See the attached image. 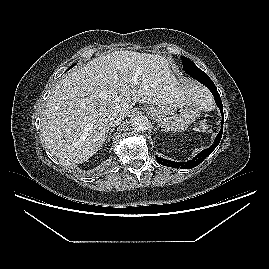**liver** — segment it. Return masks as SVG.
<instances>
[{
    "label": "liver",
    "mask_w": 269,
    "mask_h": 269,
    "mask_svg": "<svg viewBox=\"0 0 269 269\" xmlns=\"http://www.w3.org/2000/svg\"><path fill=\"white\" fill-rule=\"evenodd\" d=\"M188 99L201 108L212 105L208 90L190 79L177 80L165 57L114 51L58 81L43 111L42 136L62 164H80L104 144L110 113L128 115L136 102L165 106Z\"/></svg>",
    "instance_id": "6515ba94"
}]
</instances>
